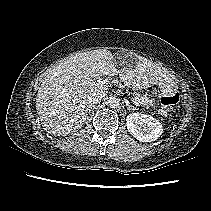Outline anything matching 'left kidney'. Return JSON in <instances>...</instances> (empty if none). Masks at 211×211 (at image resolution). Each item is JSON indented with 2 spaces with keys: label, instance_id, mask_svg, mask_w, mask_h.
<instances>
[{
  "label": "left kidney",
  "instance_id": "5707ae66",
  "mask_svg": "<svg viewBox=\"0 0 211 211\" xmlns=\"http://www.w3.org/2000/svg\"><path fill=\"white\" fill-rule=\"evenodd\" d=\"M126 124L130 134L141 142L155 141L163 132L162 124L147 114L131 113Z\"/></svg>",
  "mask_w": 211,
  "mask_h": 211
}]
</instances>
